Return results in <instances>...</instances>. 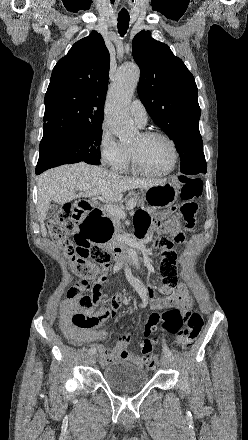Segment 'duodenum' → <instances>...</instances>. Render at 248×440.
<instances>
[{
  "mask_svg": "<svg viewBox=\"0 0 248 440\" xmlns=\"http://www.w3.org/2000/svg\"><path fill=\"white\" fill-rule=\"evenodd\" d=\"M75 205L76 207L84 211V215L85 213L91 211L93 207L92 202L88 200L78 201ZM109 251L117 261L125 264L133 262L138 258V254L132 248V244L126 242L116 244L115 246H111L109 248Z\"/></svg>",
  "mask_w": 248,
  "mask_h": 440,
  "instance_id": "410a0bca",
  "label": "duodenum"
}]
</instances>
